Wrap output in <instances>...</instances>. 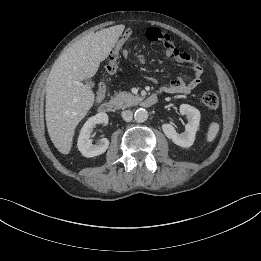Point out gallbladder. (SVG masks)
<instances>
[{"label": "gallbladder", "mask_w": 261, "mask_h": 261, "mask_svg": "<svg viewBox=\"0 0 261 261\" xmlns=\"http://www.w3.org/2000/svg\"><path fill=\"white\" fill-rule=\"evenodd\" d=\"M85 84L89 86H93V82L90 79H86Z\"/></svg>", "instance_id": "gallbladder-1"}]
</instances>
